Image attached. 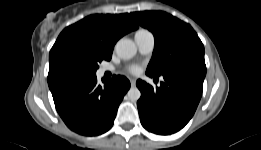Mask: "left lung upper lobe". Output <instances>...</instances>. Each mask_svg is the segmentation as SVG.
Wrapping results in <instances>:
<instances>
[{
    "instance_id": "left-lung-upper-lobe-1",
    "label": "left lung upper lobe",
    "mask_w": 261,
    "mask_h": 150,
    "mask_svg": "<svg viewBox=\"0 0 261 150\" xmlns=\"http://www.w3.org/2000/svg\"><path fill=\"white\" fill-rule=\"evenodd\" d=\"M131 15L155 38L146 73L160 76L184 64L206 67L204 46L189 24L162 11L134 12Z\"/></svg>"
}]
</instances>
